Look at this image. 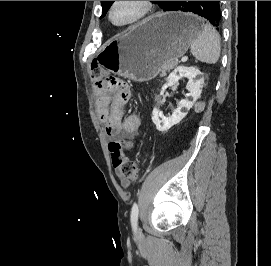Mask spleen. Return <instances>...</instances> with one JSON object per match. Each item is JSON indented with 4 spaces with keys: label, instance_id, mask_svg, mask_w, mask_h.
<instances>
[{
    "label": "spleen",
    "instance_id": "spleen-1",
    "mask_svg": "<svg viewBox=\"0 0 271 266\" xmlns=\"http://www.w3.org/2000/svg\"><path fill=\"white\" fill-rule=\"evenodd\" d=\"M220 50L219 34L210 24H204L197 38L191 42V53L200 62L215 64Z\"/></svg>",
    "mask_w": 271,
    "mask_h": 266
}]
</instances>
